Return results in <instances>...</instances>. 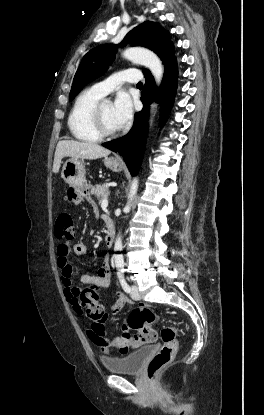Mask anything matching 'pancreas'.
I'll use <instances>...</instances> for the list:
<instances>
[{
    "label": "pancreas",
    "instance_id": "pancreas-1",
    "mask_svg": "<svg viewBox=\"0 0 264 415\" xmlns=\"http://www.w3.org/2000/svg\"><path fill=\"white\" fill-rule=\"evenodd\" d=\"M108 191V186L97 184L95 187L91 188V194L95 195L99 202H102Z\"/></svg>",
    "mask_w": 264,
    "mask_h": 415
}]
</instances>
